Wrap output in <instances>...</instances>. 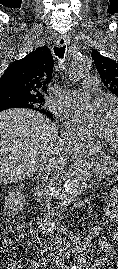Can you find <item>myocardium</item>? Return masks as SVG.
I'll list each match as a JSON object with an SVG mask.
<instances>
[{
  "label": "myocardium",
  "mask_w": 118,
  "mask_h": 269,
  "mask_svg": "<svg viewBox=\"0 0 118 269\" xmlns=\"http://www.w3.org/2000/svg\"><path fill=\"white\" fill-rule=\"evenodd\" d=\"M110 112H118V104L113 105L110 109ZM101 145H107L110 148H112L113 150L118 152V143H114L111 141H104V142H100L97 147H99Z\"/></svg>",
  "instance_id": "obj_1"
}]
</instances>
